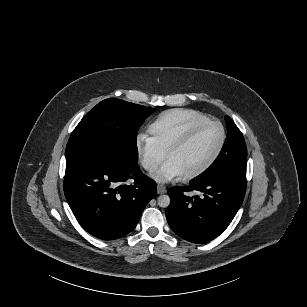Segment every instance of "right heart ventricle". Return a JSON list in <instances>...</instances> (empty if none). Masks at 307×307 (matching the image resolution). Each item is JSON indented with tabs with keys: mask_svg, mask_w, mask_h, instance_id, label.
Wrapping results in <instances>:
<instances>
[{
	"mask_svg": "<svg viewBox=\"0 0 307 307\" xmlns=\"http://www.w3.org/2000/svg\"><path fill=\"white\" fill-rule=\"evenodd\" d=\"M208 120L205 115L195 110L170 109L159 114L150 124L149 131L162 151H166L172 144Z\"/></svg>",
	"mask_w": 307,
	"mask_h": 307,
	"instance_id": "obj_1",
	"label": "right heart ventricle"
}]
</instances>
